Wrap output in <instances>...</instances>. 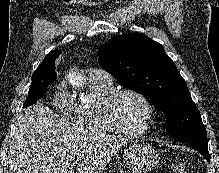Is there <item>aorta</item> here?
<instances>
[{
    "mask_svg": "<svg viewBox=\"0 0 219 173\" xmlns=\"http://www.w3.org/2000/svg\"><path fill=\"white\" fill-rule=\"evenodd\" d=\"M83 80H84V78L81 77V76H79V77H78V80H77V81H74L73 84L78 85V86H79V85L81 86V85L83 84V82H84Z\"/></svg>",
    "mask_w": 219,
    "mask_h": 173,
    "instance_id": "obj_1",
    "label": "aorta"
}]
</instances>
